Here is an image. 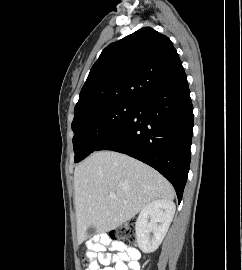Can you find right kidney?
I'll return each instance as SVG.
<instances>
[{
  "mask_svg": "<svg viewBox=\"0 0 242 270\" xmlns=\"http://www.w3.org/2000/svg\"><path fill=\"white\" fill-rule=\"evenodd\" d=\"M175 213V204L166 199L148 203L140 212L136 224V240L145 252H154L162 243ZM150 218V222L148 219ZM150 233H153L150 236Z\"/></svg>",
  "mask_w": 242,
  "mask_h": 270,
  "instance_id": "ca27d5eb",
  "label": "right kidney"
}]
</instances>
